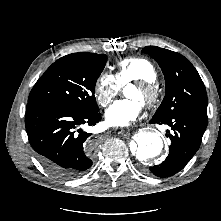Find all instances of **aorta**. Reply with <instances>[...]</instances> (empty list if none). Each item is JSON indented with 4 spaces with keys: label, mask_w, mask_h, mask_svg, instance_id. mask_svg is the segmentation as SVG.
<instances>
[{
    "label": "aorta",
    "mask_w": 221,
    "mask_h": 221,
    "mask_svg": "<svg viewBox=\"0 0 221 221\" xmlns=\"http://www.w3.org/2000/svg\"><path fill=\"white\" fill-rule=\"evenodd\" d=\"M134 140L135 148L133 149V153L141 163L159 156L164 147L163 139L156 132H139L135 135Z\"/></svg>",
    "instance_id": "obj_1"
}]
</instances>
